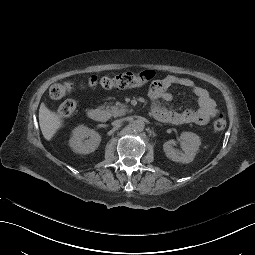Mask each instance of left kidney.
<instances>
[{
    "mask_svg": "<svg viewBox=\"0 0 255 255\" xmlns=\"http://www.w3.org/2000/svg\"><path fill=\"white\" fill-rule=\"evenodd\" d=\"M181 148L184 153H179L174 149L176 142L169 140L163 144V149L168 158L176 162L190 163L193 161L201 141L198 135L192 132H183L180 136Z\"/></svg>",
    "mask_w": 255,
    "mask_h": 255,
    "instance_id": "5707ae66",
    "label": "left kidney"
}]
</instances>
